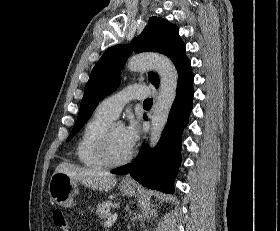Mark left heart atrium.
<instances>
[{
	"label": "left heart atrium",
	"instance_id": "obj_1",
	"mask_svg": "<svg viewBox=\"0 0 280 231\" xmlns=\"http://www.w3.org/2000/svg\"><path fill=\"white\" fill-rule=\"evenodd\" d=\"M139 138V127L135 121H131L127 125L122 126L120 134L121 144L128 153H130L135 148Z\"/></svg>",
	"mask_w": 280,
	"mask_h": 231
}]
</instances>
